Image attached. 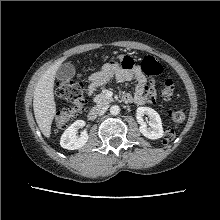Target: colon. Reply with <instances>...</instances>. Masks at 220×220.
<instances>
[{
  "instance_id": "1",
  "label": "colon",
  "mask_w": 220,
  "mask_h": 220,
  "mask_svg": "<svg viewBox=\"0 0 220 220\" xmlns=\"http://www.w3.org/2000/svg\"><path fill=\"white\" fill-rule=\"evenodd\" d=\"M132 64L129 57H123L120 60V66L123 68L130 67ZM141 69L146 75L154 77L162 72L163 67L154 57L146 56L142 60ZM174 90V82L167 80L162 89V98L166 101L171 100L174 96ZM56 93L70 105V108L60 111L55 119L56 128L62 130L78 119L85 109L84 85L81 82L62 81L57 85ZM145 98L147 103L154 102V96L151 93H147ZM184 118L185 114L180 109L172 110L169 113V120L174 125L182 123ZM174 138L175 131L173 128L167 129L164 134V141L170 142Z\"/></svg>"
}]
</instances>
